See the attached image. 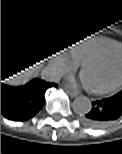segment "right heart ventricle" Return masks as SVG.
I'll return each instance as SVG.
<instances>
[{
	"instance_id": "e07e8e85",
	"label": "right heart ventricle",
	"mask_w": 122,
	"mask_h": 154,
	"mask_svg": "<svg viewBox=\"0 0 122 154\" xmlns=\"http://www.w3.org/2000/svg\"><path fill=\"white\" fill-rule=\"evenodd\" d=\"M113 45L114 42L103 38H84L73 43L68 48L71 56L77 62H81L84 58Z\"/></svg>"
}]
</instances>
